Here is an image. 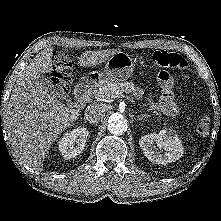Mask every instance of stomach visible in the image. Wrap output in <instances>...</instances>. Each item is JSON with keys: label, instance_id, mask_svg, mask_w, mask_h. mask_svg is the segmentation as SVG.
<instances>
[{"label": "stomach", "instance_id": "stomach-1", "mask_svg": "<svg viewBox=\"0 0 221 221\" xmlns=\"http://www.w3.org/2000/svg\"><path fill=\"white\" fill-rule=\"evenodd\" d=\"M134 69L133 59L125 52H117L106 62L103 72H93L90 79L105 84L107 82H123L131 77Z\"/></svg>", "mask_w": 221, "mask_h": 221}]
</instances>
